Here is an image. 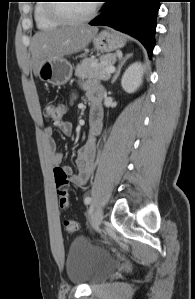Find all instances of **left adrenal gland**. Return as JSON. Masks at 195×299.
<instances>
[{
  "label": "left adrenal gland",
  "mask_w": 195,
  "mask_h": 299,
  "mask_svg": "<svg viewBox=\"0 0 195 299\" xmlns=\"http://www.w3.org/2000/svg\"><path fill=\"white\" fill-rule=\"evenodd\" d=\"M132 56V53L131 54H127L124 58H122L121 62L119 63L118 65V68H117V71L116 73L114 74L113 78H112V81L111 83L113 84L116 79L118 78L119 74H120V71H121V68L122 66L124 65V63Z\"/></svg>",
  "instance_id": "a2214340"
}]
</instances>
